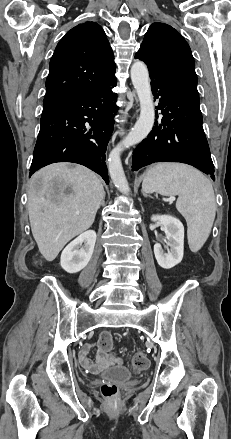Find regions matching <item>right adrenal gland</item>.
I'll list each match as a JSON object with an SVG mask.
<instances>
[{"label":"right adrenal gland","instance_id":"1","mask_svg":"<svg viewBox=\"0 0 231 439\" xmlns=\"http://www.w3.org/2000/svg\"><path fill=\"white\" fill-rule=\"evenodd\" d=\"M101 205H102V206L105 205V196H104V198L102 199Z\"/></svg>","mask_w":231,"mask_h":439}]
</instances>
